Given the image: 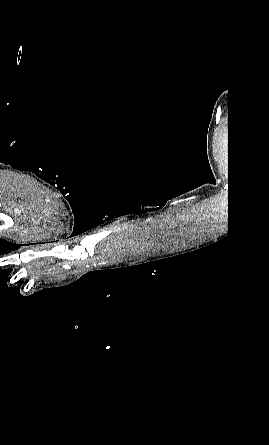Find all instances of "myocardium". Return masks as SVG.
Masks as SVG:
<instances>
[{
    "instance_id": "f54148a6",
    "label": "myocardium",
    "mask_w": 269,
    "mask_h": 445,
    "mask_svg": "<svg viewBox=\"0 0 269 445\" xmlns=\"http://www.w3.org/2000/svg\"><path fill=\"white\" fill-rule=\"evenodd\" d=\"M57 234H47V235H44V236H42V238H50V237H53V236H56Z\"/></svg>"
}]
</instances>
